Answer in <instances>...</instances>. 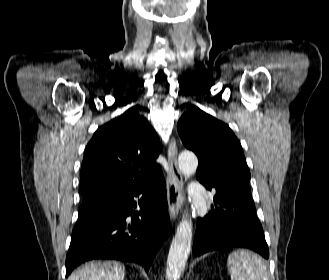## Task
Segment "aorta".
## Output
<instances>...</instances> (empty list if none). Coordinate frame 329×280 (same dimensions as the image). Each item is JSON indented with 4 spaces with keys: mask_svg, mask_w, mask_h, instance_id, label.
<instances>
[{
    "mask_svg": "<svg viewBox=\"0 0 329 280\" xmlns=\"http://www.w3.org/2000/svg\"><path fill=\"white\" fill-rule=\"evenodd\" d=\"M179 170L190 176L196 172L198 159L192 152H182L178 158ZM192 244L191 220L182 219L172 240L167 258L166 277L168 280H179L185 269Z\"/></svg>",
    "mask_w": 329,
    "mask_h": 280,
    "instance_id": "obj_1",
    "label": "aorta"
}]
</instances>
